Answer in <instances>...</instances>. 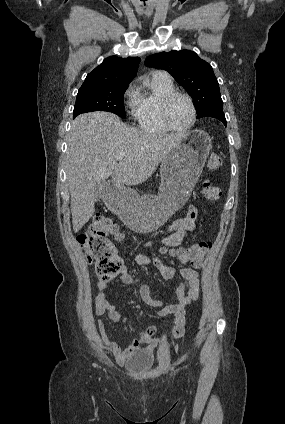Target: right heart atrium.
Here are the masks:
<instances>
[{
  "label": "right heart atrium",
  "mask_w": 285,
  "mask_h": 424,
  "mask_svg": "<svg viewBox=\"0 0 285 424\" xmlns=\"http://www.w3.org/2000/svg\"><path fill=\"white\" fill-rule=\"evenodd\" d=\"M124 95L127 99V107L133 110L136 101V87L130 84Z\"/></svg>",
  "instance_id": "d8ad5b80"
}]
</instances>
